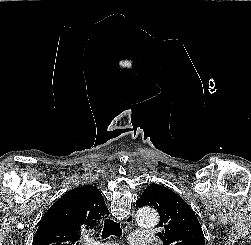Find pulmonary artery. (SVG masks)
Masks as SVG:
<instances>
[{
    "label": "pulmonary artery",
    "instance_id": "e3ab8cb5",
    "mask_svg": "<svg viewBox=\"0 0 251 245\" xmlns=\"http://www.w3.org/2000/svg\"><path fill=\"white\" fill-rule=\"evenodd\" d=\"M150 235L143 232H132L129 235L130 245H150ZM92 245H115L112 242H99L93 243Z\"/></svg>",
    "mask_w": 251,
    "mask_h": 245
}]
</instances>
